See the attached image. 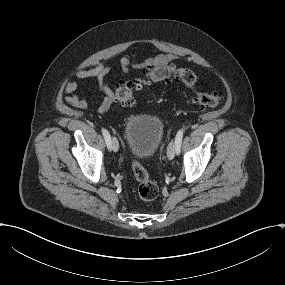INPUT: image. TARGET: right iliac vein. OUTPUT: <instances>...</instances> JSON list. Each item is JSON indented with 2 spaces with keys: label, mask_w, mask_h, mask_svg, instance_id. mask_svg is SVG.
Segmentation results:
<instances>
[{
  "label": "right iliac vein",
  "mask_w": 285,
  "mask_h": 285,
  "mask_svg": "<svg viewBox=\"0 0 285 285\" xmlns=\"http://www.w3.org/2000/svg\"><path fill=\"white\" fill-rule=\"evenodd\" d=\"M110 147L115 152L119 149L118 140L114 136L111 138Z\"/></svg>",
  "instance_id": "1"
}]
</instances>
